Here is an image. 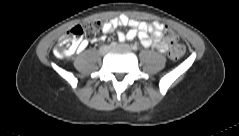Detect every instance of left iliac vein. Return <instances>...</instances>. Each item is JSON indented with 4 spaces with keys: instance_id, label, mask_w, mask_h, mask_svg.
<instances>
[{
    "instance_id": "4c4485c4",
    "label": "left iliac vein",
    "mask_w": 239,
    "mask_h": 136,
    "mask_svg": "<svg viewBox=\"0 0 239 136\" xmlns=\"http://www.w3.org/2000/svg\"><path fill=\"white\" fill-rule=\"evenodd\" d=\"M112 48H124V49H130V46L129 45H127V44H119V45H117V46H115V47H112Z\"/></svg>"
}]
</instances>
